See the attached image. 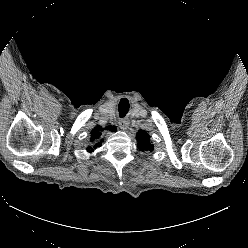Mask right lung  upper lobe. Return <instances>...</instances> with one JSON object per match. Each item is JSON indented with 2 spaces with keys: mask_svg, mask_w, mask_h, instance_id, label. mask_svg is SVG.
Masks as SVG:
<instances>
[{
  "mask_svg": "<svg viewBox=\"0 0 248 248\" xmlns=\"http://www.w3.org/2000/svg\"><path fill=\"white\" fill-rule=\"evenodd\" d=\"M105 129H110V131H116V128L113 126H109L106 127ZM104 128L100 127V126H96L92 131H91V141L97 140L99 139V137L101 136V131H103ZM98 146H100L101 144L98 143ZM96 148V146H95ZM88 150H90V148H88ZM93 150V148L91 149V151Z\"/></svg>",
  "mask_w": 248,
  "mask_h": 248,
  "instance_id": "1",
  "label": "right lung upper lobe"
}]
</instances>
